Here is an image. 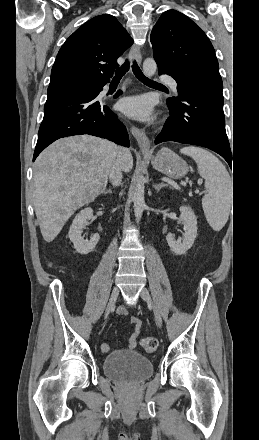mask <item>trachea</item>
<instances>
[{
	"label": "trachea",
	"instance_id": "1",
	"mask_svg": "<svg viewBox=\"0 0 259 440\" xmlns=\"http://www.w3.org/2000/svg\"><path fill=\"white\" fill-rule=\"evenodd\" d=\"M128 69H129V62L126 61V62L124 63V65H122L121 68H119V69L116 71V74H115V76H114V78H113L112 81H120L121 78L123 77V75H125V73L128 71ZM132 69H133V72H134L135 76H136L140 81H142L144 84H148V85H160V84H158V83H156V82H154V81L148 79V78L142 73L141 69L139 68V66L137 65L136 62H133V67H132Z\"/></svg>",
	"mask_w": 259,
	"mask_h": 440
}]
</instances>
